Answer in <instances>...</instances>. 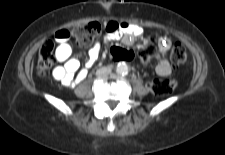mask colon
I'll return each instance as SVG.
<instances>
[{
  "mask_svg": "<svg viewBox=\"0 0 225 155\" xmlns=\"http://www.w3.org/2000/svg\"><path fill=\"white\" fill-rule=\"evenodd\" d=\"M102 30L101 25L98 22H90L87 24L74 27L72 30V38L76 44L80 47L89 46L96 36L100 34ZM156 40L148 38L141 49L138 52L139 65L143 69H148L152 65L151 56L156 51ZM107 54L113 60H124L131 62L135 58V53L131 49H119L116 45H111L107 49ZM172 61L175 66H181L188 60V54L185 47L177 42L174 44L171 53ZM56 61L55 46L52 41H46L39 49L37 59V72L40 75H45ZM176 80L173 79H157L149 84L151 91L159 96H165L170 94L176 87Z\"/></svg>",
  "mask_w": 225,
  "mask_h": 155,
  "instance_id": "5ec220e1",
  "label": "colon"
}]
</instances>
